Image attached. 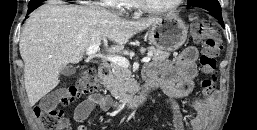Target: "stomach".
<instances>
[{
	"label": "stomach",
	"instance_id": "stomach-1",
	"mask_svg": "<svg viewBox=\"0 0 257 130\" xmlns=\"http://www.w3.org/2000/svg\"><path fill=\"white\" fill-rule=\"evenodd\" d=\"M188 28L176 14L158 18L148 29L149 41L157 48L174 51L180 48L187 38Z\"/></svg>",
	"mask_w": 257,
	"mask_h": 130
}]
</instances>
